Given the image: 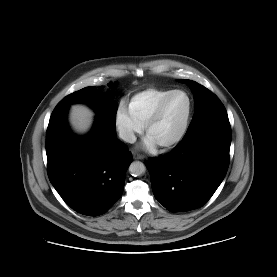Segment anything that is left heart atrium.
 <instances>
[{"label":"left heart atrium","instance_id":"obj_1","mask_svg":"<svg viewBox=\"0 0 277 277\" xmlns=\"http://www.w3.org/2000/svg\"><path fill=\"white\" fill-rule=\"evenodd\" d=\"M157 144L156 142L149 136L147 135L142 143V148L145 150L152 151L156 148Z\"/></svg>","mask_w":277,"mask_h":277}]
</instances>
